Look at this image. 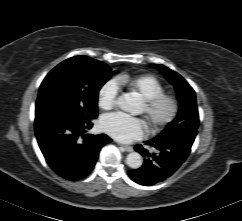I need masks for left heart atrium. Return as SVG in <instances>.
<instances>
[{
  "instance_id": "left-heart-atrium-1",
  "label": "left heart atrium",
  "mask_w": 242,
  "mask_h": 221,
  "mask_svg": "<svg viewBox=\"0 0 242 221\" xmlns=\"http://www.w3.org/2000/svg\"><path fill=\"white\" fill-rule=\"evenodd\" d=\"M102 130L120 142L140 139L146 132V124L138 118L128 117L122 113H111L101 119Z\"/></svg>"
}]
</instances>
